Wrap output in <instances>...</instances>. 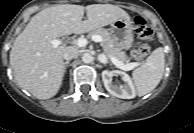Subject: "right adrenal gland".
I'll return each instance as SVG.
<instances>
[{"label":"right adrenal gland","mask_w":194,"mask_h":133,"mask_svg":"<svg viewBox=\"0 0 194 133\" xmlns=\"http://www.w3.org/2000/svg\"><path fill=\"white\" fill-rule=\"evenodd\" d=\"M69 63H70L69 60H67L66 62H64V71H66V67L68 66Z\"/></svg>","instance_id":"1"}]
</instances>
